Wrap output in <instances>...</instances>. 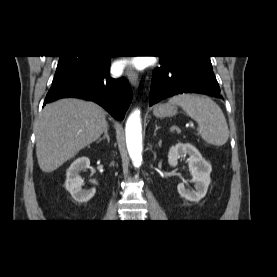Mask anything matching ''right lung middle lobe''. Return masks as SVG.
<instances>
[{
	"label": "right lung middle lobe",
	"instance_id": "right-lung-middle-lobe-1",
	"mask_svg": "<svg viewBox=\"0 0 277 277\" xmlns=\"http://www.w3.org/2000/svg\"><path fill=\"white\" fill-rule=\"evenodd\" d=\"M101 56H60L52 84H58L100 62Z\"/></svg>",
	"mask_w": 277,
	"mask_h": 277
}]
</instances>
